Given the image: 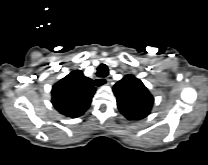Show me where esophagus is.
Returning a JSON list of instances; mask_svg holds the SVG:
<instances>
[{
    "mask_svg": "<svg viewBox=\"0 0 208 165\" xmlns=\"http://www.w3.org/2000/svg\"><path fill=\"white\" fill-rule=\"evenodd\" d=\"M95 82H96V84H97V80H96ZM109 82H110V79H109V78H105V79H104L105 85L109 84ZM98 83H99L100 85H102V81H101V80H98ZM100 85H99V86H100Z\"/></svg>",
    "mask_w": 208,
    "mask_h": 165,
    "instance_id": "esophagus-1",
    "label": "esophagus"
}]
</instances>
